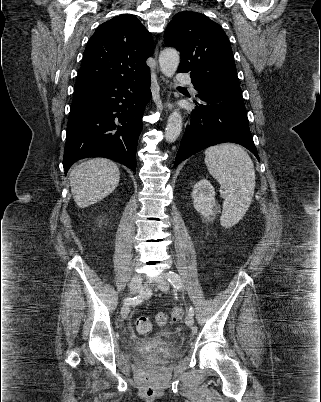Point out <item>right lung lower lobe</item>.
Instances as JSON below:
<instances>
[{
  "label": "right lung lower lobe",
  "mask_w": 321,
  "mask_h": 402,
  "mask_svg": "<svg viewBox=\"0 0 321 402\" xmlns=\"http://www.w3.org/2000/svg\"><path fill=\"white\" fill-rule=\"evenodd\" d=\"M150 72L74 88L67 124L63 167L76 161L106 157L136 170V149L144 108L151 98Z\"/></svg>",
  "instance_id": "right-lung-lower-lobe-1"
}]
</instances>
